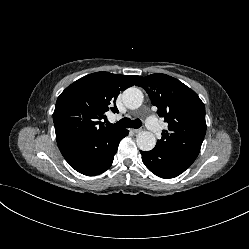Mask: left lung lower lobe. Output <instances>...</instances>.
Returning a JSON list of instances; mask_svg holds the SVG:
<instances>
[{
  "label": "left lung lower lobe",
  "mask_w": 249,
  "mask_h": 249,
  "mask_svg": "<svg viewBox=\"0 0 249 249\" xmlns=\"http://www.w3.org/2000/svg\"><path fill=\"white\" fill-rule=\"evenodd\" d=\"M142 161L155 175L162 178H173L183 173L195 161L196 157L178 152L153 149L141 151Z\"/></svg>",
  "instance_id": "0a47b994"
}]
</instances>
